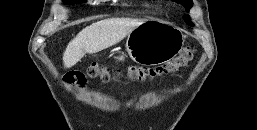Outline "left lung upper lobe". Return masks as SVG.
Listing matches in <instances>:
<instances>
[{
  "label": "left lung upper lobe",
  "instance_id": "1",
  "mask_svg": "<svg viewBox=\"0 0 257 130\" xmlns=\"http://www.w3.org/2000/svg\"><path fill=\"white\" fill-rule=\"evenodd\" d=\"M177 1H178L179 3H181V4L185 7V9H186L187 12L190 10V8H191L192 5H193L192 0H177ZM184 20H185V22H186L188 25L193 26V24L190 22L188 16H185V17H184Z\"/></svg>",
  "mask_w": 257,
  "mask_h": 130
}]
</instances>
